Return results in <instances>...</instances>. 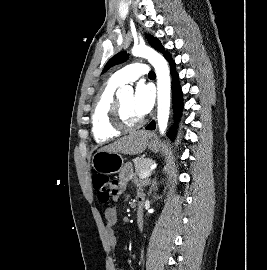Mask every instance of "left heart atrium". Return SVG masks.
Here are the masks:
<instances>
[{"mask_svg":"<svg viewBox=\"0 0 267 270\" xmlns=\"http://www.w3.org/2000/svg\"><path fill=\"white\" fill-rule=\"evenodd\" d=\"M153 102L154 93L152 88L145 83H139L133 96V108L135 112L140 117L145 116L151 110Z\"/></svg>","mask_w":267,"mask_h":270,"instance_id":"1","label":"left heart atrium"}]
</instances>
